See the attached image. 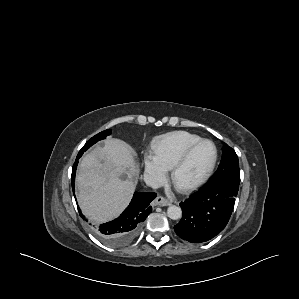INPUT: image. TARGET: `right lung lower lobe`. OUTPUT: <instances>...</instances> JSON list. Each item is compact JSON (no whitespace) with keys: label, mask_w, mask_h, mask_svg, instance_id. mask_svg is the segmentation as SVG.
I'll return each mask as SVG.
<instances>
[{"label":"right lung lower lobe","mask_w":299,"mask_h":299,"mask_svg":"<svg viewBox=\"0 0 299 299\" xmlns=\"http://www.w3.org/2000/svg\"><path fill=\"white\" fill-rule=\"evenodd\" d=\"M83 153L79 152L72 169V189L74 192L75 173L78 159ZM156 193L135 192L130 205L117 219L100 225L96 229L97 235L108 245L120 247L130 243L137 235L142 222L151 213L150 203L156 197ZM81 218L85 217L80 212Z\"/></svg>","instance_id":"1"}]
</instances>
